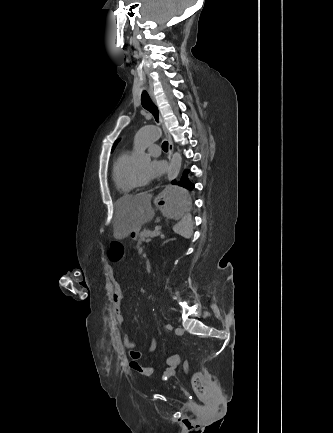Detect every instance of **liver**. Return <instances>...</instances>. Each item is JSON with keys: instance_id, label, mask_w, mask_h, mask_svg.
Masks as SVG:
<instances>
[{"instance_id": "obj_1", "label": "liver", "mask_w": 333, "mask_h": 433, "mask_svg": "<svg viewBox=\"0 0 333 433\" xmlns=\"http://www.w3.org/2000/svg\"><path fill=\"white\" fill-rule=\"evenodd\" d=\"M155 216L151 205V196L140 193L135 196L125 195L115 203L113 237L116 240L126 238L130 233H138L141 227Z\"/></svg>"}]
</instances>
